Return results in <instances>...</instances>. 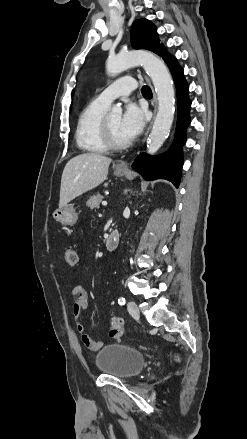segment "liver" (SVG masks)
I'll return each instance as SVG.
<instances>
[{"mask_svg":"<svg viewBox=\"0 0 247 439\" xmlns=\"http://www.w3.org/2000/svg\"><path fill=\"white\" fill-rule=\"evenodd\" d=\"M111 162L97 153H83L70 159L62 173L59 207L104 182Z\"/></svg>","mask_w":247,"mask_h":439,"instance_id":"obj_1","label":"liver"}]
</instances>
